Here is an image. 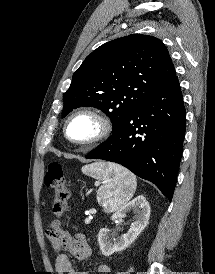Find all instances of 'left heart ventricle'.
Masks as SVG:
<instances>
[{
	"label": "left heart ventricle",
	"mask_w": 215,
	"mask_h": 274,
	"mask_svg": "<svg viewBox=\"0 0 215 274\" xmlns=\"http://www.w3.org/2000/svg\"><path fill=\"white\" fill-rule=\"evenodd\" d=\"M98 131L97 122L86 115L77 116L68 125V136L74 141H85Z\"/></svg>",
	"instance_id": "b2bd125f"
}]
</instances>
